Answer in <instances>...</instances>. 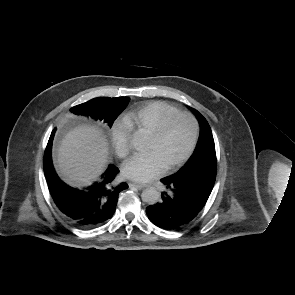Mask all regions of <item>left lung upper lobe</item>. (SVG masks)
I'll list each match as a JSON object with an SVG mask.
<instances>
[{"mask_svg": "<svg viewBox=\"0 0 295 295\" xmlns=\"http://www.w3.org/2000/svg\"><path fill=\"white\" fill-rule=\"evenodd\" d=\"M200 124V136L187 164L177 173L176 176L188 174L191 171L202 170L209 166L217 169L215 144L210 126L206 119L197 110H194Z\"/></svg>", "mask_w": 295, "mask_h": 295, "instance_id": "left-lung-upper-lobe-1", "label": "left lung upper lobe"}]
</instances>
